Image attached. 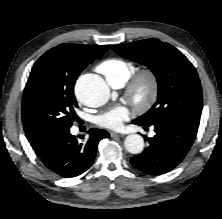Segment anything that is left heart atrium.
<instances>
[{
  "label": "left heart atrium",
  "mask_w": 222,
  "mask_h": 219,
  "mask_svg": "<svg viewBox=\"0 0 222 219\" xmlns=\"http://www.w3.org/2000/svg\"><path fill=\"white\" fill-rule=\"evenodd\" d=\"M130 111L125 105H117L96 118V123L104 128L119 130L123 122L128 120Z\"/></svg>",
  "instance_id": "39dd6f15"
}]
</instances>
